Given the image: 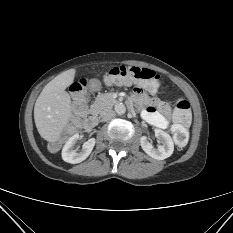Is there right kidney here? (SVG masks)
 I'll list each match as a JSON object with an SVG mask.
<instances>
[{"label": "right kidney", "instance_id": "obj_1", "mask_svg": "<svg viewBox=\"0 0 233 233\" xmlns=\"http://www.w3.org/2000/svg\"><path fill=\"white\" fill-rule=\"evenodd\" d=\"M79 139V134L76 133L73 136H71L67 142L65 143L63 149H62V159L65 162L71 163V164H77L82 161H84L91 153L95 146V138H91L88 141H86L81 151H77L74 149L75 143Z\"/></svg>", "mask_w": 233, "mask_h": 233}]
</instances>
